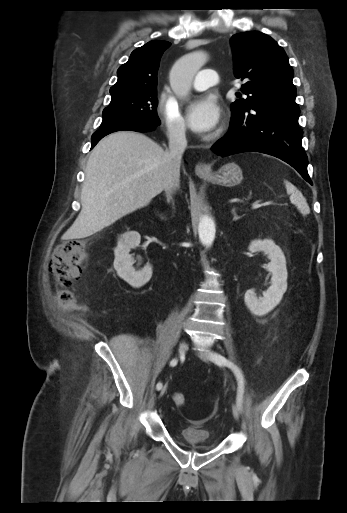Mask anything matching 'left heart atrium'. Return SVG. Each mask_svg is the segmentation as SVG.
I'll return each mask as SVG.
<instances>
[{
    "label": "left heart atrium",
    "mask_w": 347,
    "mask_h": 513,
    "mask_svg": "<svg viewBox=\"0 0 347 513\" xmlns=\"http://www.w3.org/2000/svg\"><path fill=\"white\" fill-rule=\"evenodd\" d=\"M220 117V107L216 99L209 95L197 98L187 108L188 125L196 133L212 132L219 124Z\"/></svg>",
    "instance_id": "1"
}]
</instances>
